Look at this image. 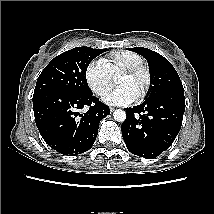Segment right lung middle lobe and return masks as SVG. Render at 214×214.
Wrapping results in <instances>:
<instances>
[{
  "instance_id": "dd1d6c3e",
  "label": "right lung middle lobe",
  "mask_w": 214,
  "mask_h": 214,
  "mask_svg": "<svg viewBox=\"0 0 214 214\" xmlns=\"http://www.w3.org/2000/svg\"><path fill=\"white\" fill-rule=\"evenodd\" d=\"M105 51L107 49L76 47L58 55L41 72L34 95L48 91L91 94L86 70L90 62Z\"/></svg>"
}]
</instances>
